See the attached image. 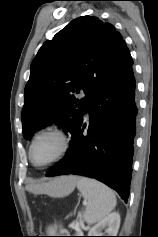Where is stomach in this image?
I'll use <instances>...</instances> for the list:
<instances>
[{
    "label": "stomach",
    "mask_w": 158,
    "mask_h": 237,
    "mask_svg": "<svg viewBox=\"0 0 158 237\" xmlns=\"http://www.w3.org/2000/svg\"><path fill=\"white\" fill-rule=\"evenodd\" d=\"M70 187L67 188H63L62 190H60L57 194H55V197H64L68 194H70Z\"/></svg>",
    "instance_id": "obj_1"
}]
</instances>
